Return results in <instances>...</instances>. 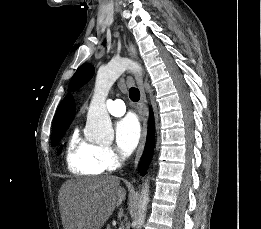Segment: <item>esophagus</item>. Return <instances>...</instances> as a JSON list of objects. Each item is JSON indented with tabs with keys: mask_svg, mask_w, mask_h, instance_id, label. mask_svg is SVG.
<instances>
[{
	"mask_svg": "<svg viewBox=\"0 0 261 229\" xmlns=\"http://www.w3.org/2000/svg\"><path fill=\"white\" fill-rule=\"evenodd\" d=\"M127 49H128V53H129L130 58L132 60L138 61V55H137L136 49H135L134 45L132 44V42L128 41ZM134 78L136 80V83L139 87L140 94H141L140 111H141L142 116H143L141 139H140L138 149H137V152H136V156H135V159H134V163H133V167H136V165L138 164L139 159L141 157V154L143 152L144 145H145L146 133H147L148 108H147V100H146V94H145L143 79H142L141 75H139V74H134Z\"/></svg>",
	"mask_w": 261,
	"mask_h": 229,
	"instance_id": "obj_1",
	"label": "esophagus"
}]
</instances>
